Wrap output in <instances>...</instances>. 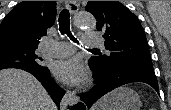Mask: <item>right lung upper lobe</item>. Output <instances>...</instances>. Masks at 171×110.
Instances as JSON below:
<instances>
[{"label":"right lung upper lobe","mask_w":171,"mask_h":110,"mask_svg":"<svg viewBox=\"0 0 171 110\" xmlns=\"http://www.w3.org/2000/svg\"><path fill=\"white\" fill-rule=\"evenodd\" d=\"M56 18V1H23L0 24V46L16 45L38 48Z\"/></svg>","instance_id":"obj_1"}]
</instances>
